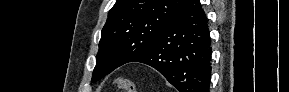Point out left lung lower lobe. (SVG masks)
<instances>
[{"label": "left lung lower lobe", "mask_w": 289, "mask_h": 92, "mask_svg": "<svg viewBox=\"0 0 289 92\" xmlns=\"http://www.w3.org/2000/svg\"><path fill=\"white\" fill-rule=\"evenodd\" d=\"M130 62L158 70L179 92H209L211 38L199 0H190L152 46Z\"/></svg>", "instance_id": "obj_1"}]
</instances>
